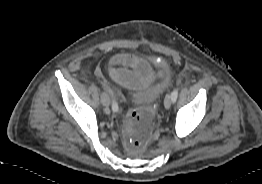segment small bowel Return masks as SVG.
<instances>
[{
	"instance_id": "c3829d8e",
	"label": "small bowel",
	"mask_w": 262,
	"mask_h": 184,
	"mask_svg": "<svg viewBox=\"0 0 262 184\" xmlns=\"http://www.w3.org/2000/svg\"><path fill=\"white\" fill-rule=\"evenodd\" d=\"M110 63V78L117 84L131 89H141L165 74L164 69L154 71L143 59L129 53L114 55ZM95 75L100 77L101 70L95 69Z\"/></svg>"
}]
</instances>
